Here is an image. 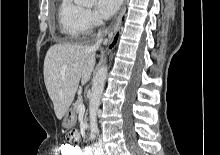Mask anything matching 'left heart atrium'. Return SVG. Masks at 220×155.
Returning <instances> with one entry per match:
<instances>
[{
	"mask_svg": "<svg viewBox=\"0 0 220 155\" xmlns=\"http://www.w3.org/2000/svg\"><path fill=\"white\" fill-rule=\"evenodd\" d=\"M122 0H98L97 9L105 17L114 15L121 5Z\"/></svg>",
	"mask_w": 220,
	"mask_h": 155,
	"instance_id": "obj_1",
	"label": "left heart atrium"
}]
</instances>
